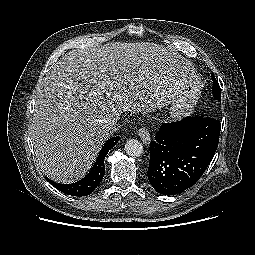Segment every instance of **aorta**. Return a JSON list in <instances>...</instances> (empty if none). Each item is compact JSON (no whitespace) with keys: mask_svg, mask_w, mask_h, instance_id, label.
Masks as SVG:
<instances>
[{"mask_svg":"<svg viewBox=\"0 0 255 255\" xmlns=\"http://www.w3.org/2000/svg\"><path fill=\"white\" fill-rule=\"evenodd\" d=\"M125 151L129 156L140 157L143 154V146L138 140L130 139L125 143Z\"/></svg>","mask_w":255,"mask_h":255,"instance_id":"762f6f07","label":"aorta"}]
</instances>
